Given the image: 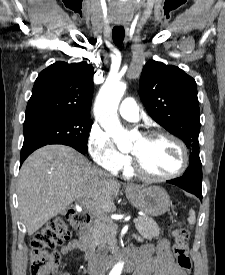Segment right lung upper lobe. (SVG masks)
I'll return each mask as SVG.
<instances>
[{"label": "right lung upper lobe", "mask_w": 225, "mask_h": 275, "mask_svg": "<svg viewBox=\"0 0 225 275\" xmlns=\"http://www.w3.org/2000/svg\"><path fill=\"white\" fill-rule=\"evenodd\" d=\"M94 68L86 62L58 61L40 72L26 108V117L44 113L89 114Z\"/></svg>", "instance_id": "obj_1"}]
</instances>
